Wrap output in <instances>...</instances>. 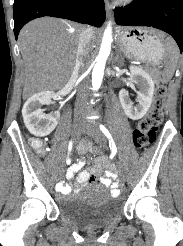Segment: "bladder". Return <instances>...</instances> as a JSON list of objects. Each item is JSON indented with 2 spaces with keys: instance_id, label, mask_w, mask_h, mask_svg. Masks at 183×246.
<instances>
[{
  "instance_id": "31cf9c89",
  "label": "bladder",
  "mask_w": 183,
  "mask_h": 246,
  "mask_svg": "<svg viewBox=\"0 0 183 246\" xmlns=\"http://www.w3.org/2000/svg\"><path fill=\"white\" fill-rule=\"evenodd\" d=\"M121 204L101 185H91L87 192L60 205V213L80 227H98L115 219Z\"/></svg>"
}]
</instances>
